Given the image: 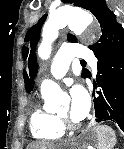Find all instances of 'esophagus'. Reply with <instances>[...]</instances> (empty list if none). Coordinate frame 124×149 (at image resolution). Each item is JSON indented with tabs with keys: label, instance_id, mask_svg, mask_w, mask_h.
I'll use <instances>...</instances> for the list:
<instances>
[{
	"label": "esophagus",
	"instance_id": "34e87169",
	"mask_svg": "<svg viewBox=\"0 0 124 149\" xmlns=\"http://www.w3.org/2000/svg\"><path fill=\"white\" fill-rule=\"evenodd\" d=\"M93 125H94V121L92 120V121H90V123L88 124L87 128H89V127H91V126H93Z\"/></svg>",
	"mask_w": 124,
	"mask_h": 149
}]
</instances>
